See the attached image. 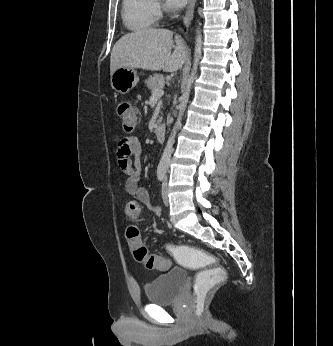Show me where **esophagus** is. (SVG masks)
<instances>
[{"label": "esophagus", "mask_w": 333, "mask_h": 346, "mask_svg": "<svg viewBox=\"0 0 333 346\" xmlns=\"http://www.w3.org/2000/svg\"><path fill=\"white\" fill-rule=\"evenodd\" d=\"M196 0H189V4L187 6L185 16H184V24L188 28L193 19L194 7Z\"/></svg>", "instance_id": "34e87169"}]
</instances>
